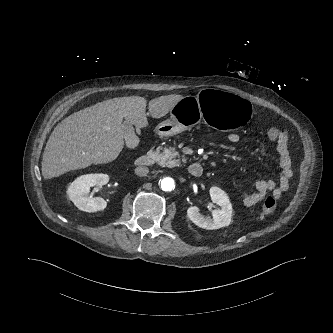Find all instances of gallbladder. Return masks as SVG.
<instances>
[{
	"label": "gallbladder",
	"instance_id": "1",
	"mask_svg": "<svg viewBox=\"0 0 333 333\" xmlns=\"http://www.w3.org/2000/svg\"><path fill=\"white\" fill-rule=\"evenodd\" d=\"M122 134L128 147L134 148L138 145L139 139L135 135L132 124L128 121L122 123Z\"/></svg>",
	"mask_w": 333,
	"mask_h": 333
}]
</instances>
